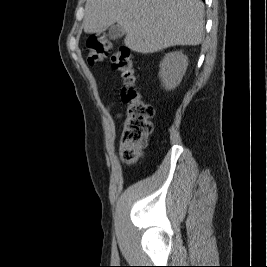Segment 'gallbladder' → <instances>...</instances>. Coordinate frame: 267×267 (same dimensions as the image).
Wrapping results in <instances>:
<instances>
[{"label": "gallbladder", "mask_w": 267, "mask_h": 267, "mask_svg": "<svg viewBox=\"0 0 267 267\" xmlns=\"http://www.w3.org/2000/svg\"><path fill=\"white\" fill-rule=\"evenodd\" d=\"M124 29L120 25H112L108 30V38L115 40L121 38L124 35Z\"/></svg>", "instance_id": "bac80fb5"}]
</instances>
